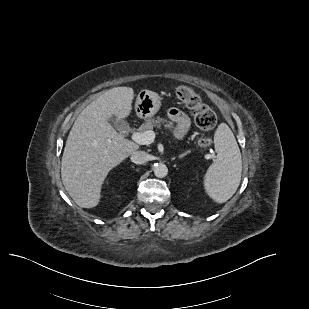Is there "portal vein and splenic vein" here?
<instances>
[{"instance_id":"obj_1","label":"portal vein and splenic vein","mask_w":309,"mask_h":309,"mask_svg":"<svg viewBox=\"0 0 309 309\" xmlns=\"http://www.w3.org/2000/svg\"><path fill=\"white\" fill-rule=\"evenodd\" d=\"M155 136L156 135L153 130L134 132L132 134V140L141 145H149L154 141Z\"/></svg>"}]
</instances>
